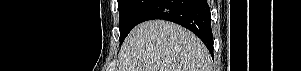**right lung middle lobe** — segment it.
Returning a JSON list of instances; mask_svg holds the SVG:
<instances>
[{
  "instance_id": "right-lung-middle-lobe-1",
  "label": "right lung middle lobe",
  "mask_w": 301,
  "mask_h": 71,
  "mask_svg": "<svg viewBox=\"0 0 301 71\" xmlns=\"http://www.w3.org/2000/svg\"><path fill=\"white\" fill-rule=\"evenodd\" d=\"M155 1L156 0H118L120 43H122L128 33L140 23L145 11Z\"/></svg>"
}]
</instances>
